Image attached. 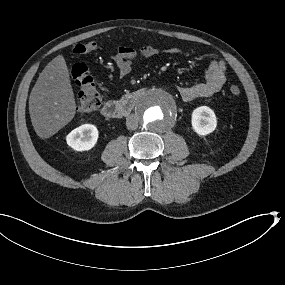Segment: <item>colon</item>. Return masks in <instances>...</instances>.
Segmentation results:
<instances>
[{"label":"colon","instance_id":"obj_1","mask_svg":"<svg viewBox=\"0 0 285 285\" xmlns=\"http://www.w3.org/2000/svg\"><path fill=\"white\" fill-rule=\"evenodd\" d=\"M98 47L99 44L96 41H89L75 45L72 52L80 56L90 53ZM71 76L79 87L78 111L81 114H89L97 110L102 104V95L88 67L83 63L74 64L71 69ZM229 92L232 96H239L241 90L237 85H232Z\"/></svg>","mask_w":285,"mask_h":285}]
</instances>
